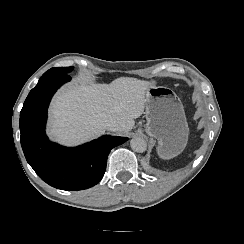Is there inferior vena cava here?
<instances>
[{"label": "inferior vena cava", "instance_id": "1", "mask_svg": "<svg viewBox=\"0 0 244 244\" xmlns=\"http://www.w3.org/2000/svg\"><path fill=\"white\" fill-rule=\"evenodd\" d=\"M102 123L105 128L111 131H119L121 127L119 123L112 120H102Z\"/></svg>", "mask_w": 244, "mask_h": 244}]
</instances>
